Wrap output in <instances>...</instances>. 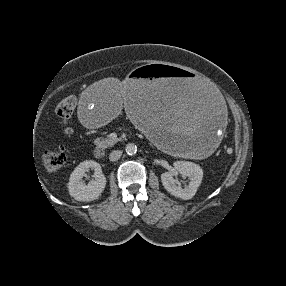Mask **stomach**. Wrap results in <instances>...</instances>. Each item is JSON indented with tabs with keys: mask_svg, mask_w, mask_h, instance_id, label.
Segmentation results:
<instances>
[{
	"mask_svg": "<svg viewBox=\"0 0 286 286\" xmlns=\"http://www.w3.org/2000/svg\"><path fill=\"white\" fill-rule=\"evenodd\" d=\"M80 118L101 127L126 111L137 129L162 149L198 155L214 148L227 114L225 97L214 83L170 62H155L132 71L124 87L101 79L77 96Z\"/></svg>",
	"mask_w": 286,
	"mask_h": 286,
	"instance_id": "obj_1",
	"label": "stomach"
}]
</instances>
